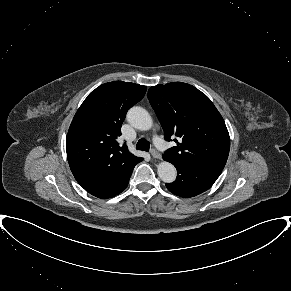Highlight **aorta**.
I'll list each match as a JSON object with an SVG mask.
<instances>
[{
    "label": "aorta",
    "instance_id": "1",
    "mask_svg": "<svg viewBox=\"0 0 291 291\" xmlns=\"http://www.w3.org/2000/svg\"><path fill=\"white\" fill-rule=\"evenodd\" d=\"M127 121L139 130H149L153 126L150 114L142 107L134 106L127 113ZM157 172L160 179L165 183H172L177 176L176 168L167 161H162L157 166Z\"/></svg>",
    "mask_w": 291,
    "mask_h": 291
}]
</instances>
